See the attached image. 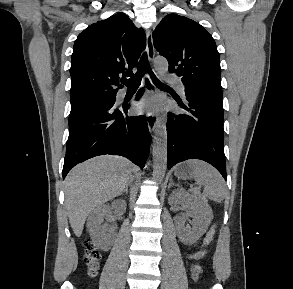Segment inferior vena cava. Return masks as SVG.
I'll return each mask as SVG.
<instances>
[{
    "mask_svg": "<svg viewBox=\"0 0 293 289\" xmlns=\"http://www.w3.org/2000/svg\"><path fill=\"white\" fill-rule=\"evenodd\" d=\"M132 181H133V176L130 177L129 183H132Z\"/></svg>",
    "mask_w": 293,
    "mask_h": 289,
    "instance_id": "inferior-vena-cava-1",
    "label": "inferior vena cava"
}]
</instances>
